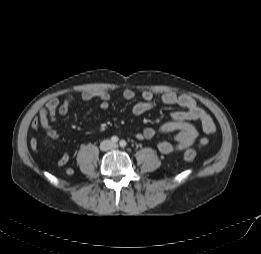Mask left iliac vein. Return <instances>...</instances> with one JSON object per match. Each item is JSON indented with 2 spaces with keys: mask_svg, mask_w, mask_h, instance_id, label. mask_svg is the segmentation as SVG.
<instances>
[{
  "mask_svg": "<svg viewBox=\"0 0 261 254\" xmlns=\"http://www.w3.org/2000/svg\"><path fill=\"white\" fill-rule=\"evenodd\" d=\"M117 147H118L117 144H112V145H111V148H112V149H116Z\"/></svg>",
  "mask_w": 261,
  "mask_h": 254,
  "instance_id": "obj_1",
  "label": "left iliac vein"
}]
</instances>
